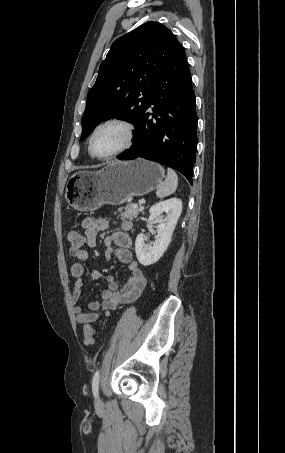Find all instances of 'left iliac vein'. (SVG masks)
<instances>
[{"label": "left iliac vein", "instance_id": "4c4485c4", "mask_svg": "<svg viewBox=\"0 0 285 453\" xmlns=\"http://www.w3.org/2000/svg\"><path fill=\"white\" fill-rule=\"evenodd\" d=\"M100 402H101V400L97 397L96 403H100Z\"/></svg>", "mask_w": 285, "mask_h": 453}]
</instances>
